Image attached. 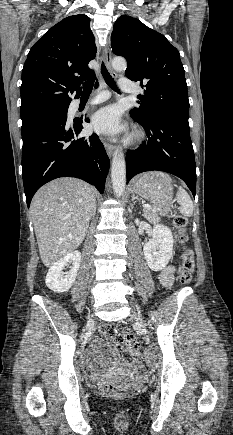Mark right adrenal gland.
I'll return each mask as SVG.
<instances>
[{
    "instance_id": "1",
    "label": "right adrenal gland",
    "mask_w": 233,
    "mask_h": 435,
    "mask_svg": "<svg viewBox=\"0 0 233 435\" xmlns=\"http://www.w3.org/2000/svg\"><path fill=\"white\" fill-rule=\"evenodd\" d=\"M95 214H96V207L94 208V211H93V214H92V218L95 217Z\"/></svg>"
}]
</instances>
